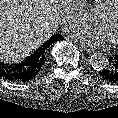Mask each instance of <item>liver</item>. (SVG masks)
I'll use <instances>...</instances> for the list:
<instances>
[{"instance_id": "6515ba94", "label": "liver", "mask_w": 118, "mask_h": 118, "mask_svg": "<svg viewBox=\"0 0 118 118\" xmlns=\"http://www.w3.org/2000/svg\"><path fill=\"white\" fill-rule=\"evenodd\" d=\"M58 0H0V60L17 63L57 30Z\"/></svg>"}]
</instances>
